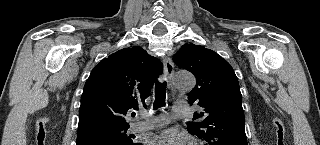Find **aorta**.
Here are the masks:
<instances>
[{"label": "aorta", "instance_id": "1", "mask_svg": "<svg viewBox=\"0 0 320 145\" xmlns=\"http://www.w3.org/2000/svg\"><path fill=\"white\" fill-rule=\"evenodd\" d=\"M174 85L178 89L189 90L195 86V78L191 73L178 71L174 74Z\"/></svg>", "mask_w": 320, "mask_h": 145}]
</instances>
